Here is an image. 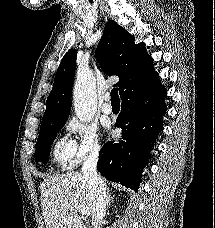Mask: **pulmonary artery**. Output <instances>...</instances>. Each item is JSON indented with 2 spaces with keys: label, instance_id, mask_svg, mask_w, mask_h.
I'll list each match as a JSON object with an SVG mask.
<instances>
[{
  "label": "pulmonary artery",
  "instance_id": "pulmonary-artery-1",
  "mask_svg": "<svg viewBox=\"0 0 215 228\" xmlns=\"http://www.w3.org/2000/svg\"><path fill=\"white\" fill-rule=\"evenodd\" d=\"M110 100H111V96L108 93L105 97V103L102 105V112L105 114H111L113 111V107L110 103Z\"/></svg>",
  "mask_w": 215,
  "mask_h": 228
}]
</instances>
